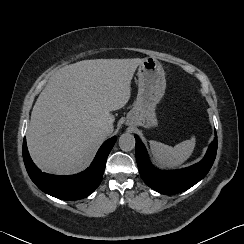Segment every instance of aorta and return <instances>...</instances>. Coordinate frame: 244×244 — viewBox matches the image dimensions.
I'll use <instances>...</instances> for the list:
<instances>
[{"label": "aorta", "instance_id": "aorta-1", "mask_svg": "<svg viewBox=\"0 0 244 244\" xmlns=\"http://www.w3.org/2000/svg\"><path fill=\"white\" fill-rule=\"evenodd\" d=\"M135 137L130 133H124L119 138V147L122 151L128 152L135 148Z\"/></svg>", "mask_w": 244, "mask_h": 244}]
</instances>
